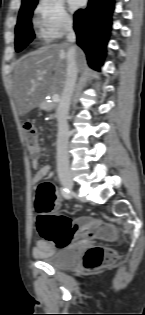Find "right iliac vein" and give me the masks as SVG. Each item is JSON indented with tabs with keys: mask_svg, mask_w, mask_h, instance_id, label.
I'll return each instance as SVG.
<instances>
[{
	"mask_svg": "<svg viewBox=\"0 0 145 315\" xmlns=\"http://www.w3.org/2000/svg\"><path fill=\"white\" fill-rule=\"evenodd\" d=\"M61 183L67 189H72L73 188V182L70 179H62Z\"/></svg>",
	"mask_w": 145,
	"mask_h": 315,
	"instance_id": "right-iliac-vein-1",
	"label": "right iliac vein"
}]
</instances>
